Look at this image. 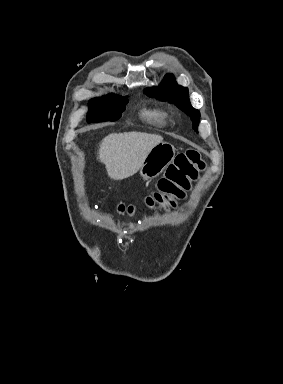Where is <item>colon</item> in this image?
<instances>
[{
  "instance_id": "5ec220e1",
  "label": "colon",
  "mask_w": 283,
  "mask_h": 384,
  "mask_svg": "<svg viewBox=\"0 0 283 384\" xmlns=\"http://www.w3.org/2000/svg\"><path fill=\"white\" fill-rule=\"evenodd\" d=\"M205 167L200 153L197 150L189 149L178 154L174 162L168 167L166 174L157 185V190L146 198L148 206L166 204L174 206L175 200L183 198L185 192L190 188L191 182ZM121 212L131 213L133 207H119Z\"/></svg>"
}]
</instances>
